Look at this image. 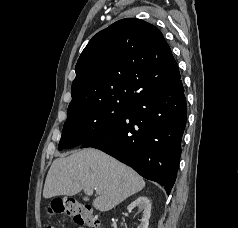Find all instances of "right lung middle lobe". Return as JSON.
<instances>
[{
  "instance_id": "right-lung-middle-lobe-1",
  "label": "right lung middle lobe",
  "mask_w": 238,
  "mask_h": 228,
  "mask_svg": "<svg viewBox=\"0 0 238 228\" xmlns=\"http://www.w3.org/2000/svg\"><path fill=\"white\" fill-rule=\"evenodd\" d=\"M128 103H98L67 114L58 149L82 145L119 121Z\"/></svg>"
}]
</instances>
